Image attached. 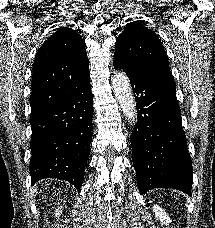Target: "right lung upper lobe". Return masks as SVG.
I'll list each match as a JSON object with an SVG mask.
<instances>
[{
    "mask_svg": "<svg viewBox=\"0 0 215 228\" xmlns=\"http://www.w3.org/2000/svg\"><path fill=\"white\" fill-rule=\"evenodd\" d=\"M85 45L76 31L61 27L39 48L33 65L30 116L65 97L69 83L89 75Z\"/></svg>",
    "mask_w": 215,
    "mask_h": 228,
    "instance_id": "1",
    "label": "right lung upper lobe"
}]
</instances>
